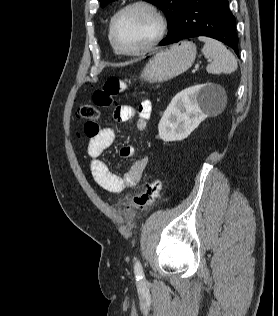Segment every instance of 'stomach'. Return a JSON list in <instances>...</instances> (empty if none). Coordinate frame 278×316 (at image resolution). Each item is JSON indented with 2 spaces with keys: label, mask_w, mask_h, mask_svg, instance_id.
<instances>
[{
  "label": "stomach",
  "mask_w": 278,
  "mask_h": 316,
  "mask_svg": "<svg viewBox=\"0 0 278 316\" xmlns=\"http://www.w3.org/2000/svg\"><path fill=\"white\" fill-rule=\"evenodd\" d=\"M195 57L196 46L183 41L156 53L146 64L140 77L151 83L170 80L187 71Z\"/></svg>",
  "instance_id": "1"
}]
</instances>
